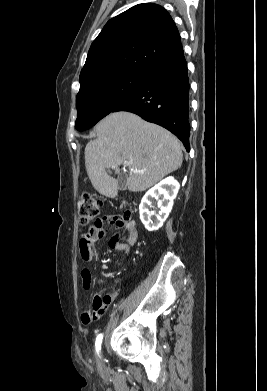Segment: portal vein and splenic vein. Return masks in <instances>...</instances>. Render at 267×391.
I'll return each instance as SVG.
<instances>
[{
  "label": "portal vein and splenic vein",
  "instance_id": "1",
  "mask_svg": "<svg viewBox=\"0 0 267 391\" xmlns=\"http://www.w3.org/2000/svg\"><path fill=\"white\" fill-rule=\"evenodd\" d=\"M124 164L125 165H129L130 163L129 162H125ZM131 171L136 172V173H142L143 172L142 170H137V169H131Z\"/></svg>",
  "mask_w": 267,
  "mask_h": 391
}]
</instances>
